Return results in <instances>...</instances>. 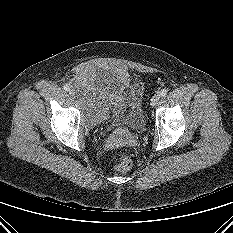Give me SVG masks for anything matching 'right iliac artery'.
<instances>
[{
  "mask_svg": "<svg viewBox=\"0 0 233 233\" xmlns=\"http://www.w3.org/2000/svg\"><path fill=\"white\" fill-rule=\"evenodd\" d=\"M64 90H65V91H69V90H70V86H69V85H67V84H66V85H64Z\"/></svg>",
  "mask_w": 233,
  "mask_h": 233,
  "instance_id": "82829eb1",
  "label": "right iliac artery"
}]
</instances>
